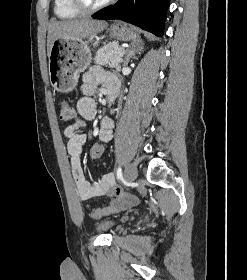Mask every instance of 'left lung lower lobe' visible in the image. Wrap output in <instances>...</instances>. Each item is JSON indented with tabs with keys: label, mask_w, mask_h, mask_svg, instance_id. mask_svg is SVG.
<instances>
[{
	"label": "left lung lower lobe",
	"mask_w": 247,
	"mask_h": 280,
	"mask_svg": "<svg viewBox=\"0 0 247 280\" xmlns=\"http://www.w3.org/2000/svg\"><path fill=\"white\" fill-rule=\"evenodd\" d=\"M169 4L170 0H119L93 18L121 19L162 37Z\"/></svg>",
	"instance_id": "1"
}]
</instances>
